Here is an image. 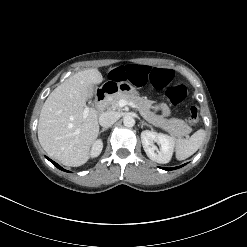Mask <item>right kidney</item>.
Here are the masks:
<instances>
[{
	"instance_id": "obj_1",
	"label": "right kidney",
	"mask_w": 247,
	"mask_h": 247,
	"mask_svg": "<svg viewBox=\"0 0 247 247\" xmlns=\"http://www.w3.org/2000/svg\"><path fill=\"white\" fill-rule=\"evenodd\" d=\"M102 148H103L102 140L101 139L96 140L91 147L90 156L92 158L99 156L102 151Z\"/></svg>"
}]
</instances>
